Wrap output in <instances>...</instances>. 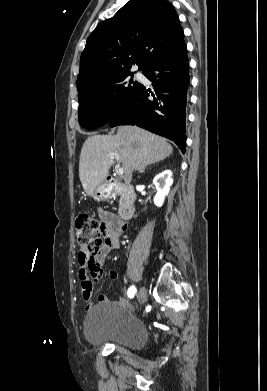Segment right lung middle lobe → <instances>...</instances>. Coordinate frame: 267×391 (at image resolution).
<instances>
[{
    "mask_svg": "<svg viewBox=\"0 0 267 391\" xmlns=\"http://www.w3.org/2000/svg\"><path fill=\"white\" fill-rule=\"evenodd\" d=\"M124 71L101 78L79 93V123L95 129L111 119L141 88L142 84L128 78Z\"/></svg>",
    "mask_w": 267,
    "mask_h": 391,
    "instance_id": "right-lung-middle-lobe-1",
    "label": "right lung middle lobe"
}]
</instances>
